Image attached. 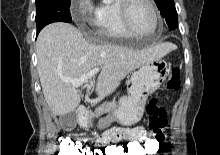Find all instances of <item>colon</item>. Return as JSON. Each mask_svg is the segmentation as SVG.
<instances>
[{
  "label": "colon",
  "mask_w": 220,
  "mask_h": 155,
  "mask_svg": "<svg viewBox=\"0 0 220 155\" xmlns=\"http://www.w3.org/2000/svg\"><path fill=\"white\" fill-rule=\"evenodd\" d=\"M168 90L177 91L180 88V70L173 66L169 69L166 80ZM148 126L152 135L146 139H134L123 142V146H107L108 144H89L73 139H63L58 147L61 155H160L161 144H165L167 119L164 108L156 99L147 106Z\"/></svg>",
  "instance_id": "1"
}]
</instances>
